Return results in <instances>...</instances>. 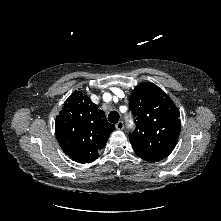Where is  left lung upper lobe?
Masks as SVG:
<instances>
[{"label":"left lung upper lobe","mask_w":221,"mask_h":221,"mask_svg":"<svg viewBox=\"0 0 221 221\" xmlns=\"http://www.w3.org/2000/svg\"><path fill=\"white\" fill-rule=\"evenodd\" d=\"M129 106L137 120L136 129L129 135L135 153L146 161L167 157L181 129L174 102L155 84L143 83L132 91Z\"/></svg>","instance_id":"5c2ea615"}]
</instances>
